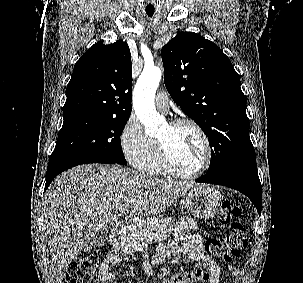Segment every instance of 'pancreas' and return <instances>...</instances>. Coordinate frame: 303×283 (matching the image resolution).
<instances>
[{
  "mask_svg": "<svg viewBox=\"0 0 303 283\" xmlns=\"http://www.w3.org/2000/svg\"><path fill=\"white\" fill-rule=\"evenodd\" d=\"M174 220L171 218H158L142 223L130 225L126 233L117 243V249L133 253L142 245L165 240L174 230Z\"/></svg>",
  "mask_w": 303,
  "mask_h": 283,
  "instance_id": "pancreas-1",
  "label": "pancreas"
}]
</instances>
